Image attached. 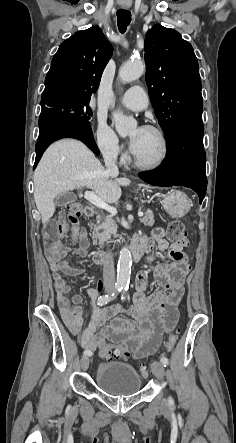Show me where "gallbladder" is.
Returning a JSON list of instances; mask_svg holds the SVG:
<instances>
[{"mask_svg":"<svg viewBox=\"0 0 236 443\" xmlns=\"http://www.w3.org/2000/svg\"><path fill=\"white\" fill-rule=\"evenodd\" d=\"M76 199H77V196L73 192L67 191V192L62 193L56 197L55 204L57 206H65L67 204L75 202Z\"/></svg>","mask_w":236,"mask_h":443,"instance_id":"bac80fb5","label":"gallbladder"}]
</instances>
